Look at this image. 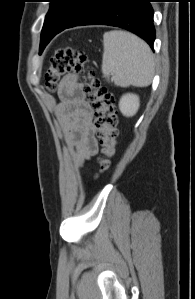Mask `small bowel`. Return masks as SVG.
I'll list each match as a JSON object with an SVG mask.
<instances>
[{"instance_id":"1","label":"small bowel","mask_w":195,"mask_h":299,"mask_svg":"<svg viewBox=\"0 0 195 299\" xmlns=\"http://www.w3.org/2000/svg\"><path fill=\"white\" fill-rule=\"evenodd\" d=\"M62 97L61 118L74 162L81 166L98 152L94 111L85 99L83 85L76 74H68L59 84Z\"/></svg>"}]
</instances>
